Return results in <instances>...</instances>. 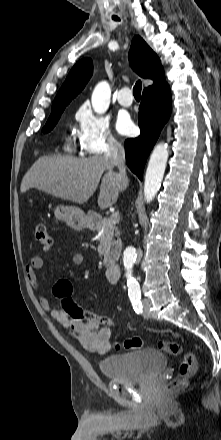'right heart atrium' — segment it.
Masks as SVG:
<instances>
[{
  "mask_svg": "<svg viewBox=\"0 0 221 440\" xmlns=\"http://www.w3.org/2000/svg\"><path fill=\"white\" fill-rule=\"evenodd\" d=\"M76 121L77 141L83 153L101 155L119 148V142L111 131L109 121L103 115L84 105L78 109Z\"/></svg>",
  "mask_w": 221,
  "mask_h": 440,
  "instance_id": "right-heart-atrium-1",
  "label": "right heart atrium"
}]
</instances>
